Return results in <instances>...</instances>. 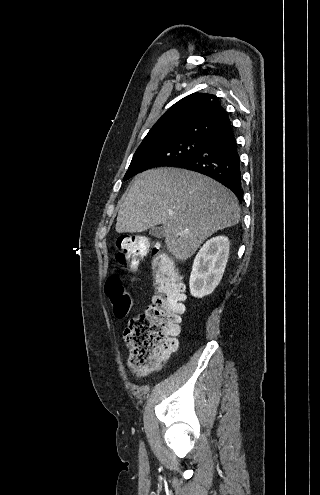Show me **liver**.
<instances>
[{"instance_id": "6515ba94", "label": "liver", "mask_w": 320, "mask_h": 495, "mask_svg": "<svg viewBox=\"0 0 320 495\" xmlns=\"http://www.w3.org/2000/svg\"><path fill=\"white\" fill-rule=\"evenodd\" d=\"M240 220L237 197L215 180L188 170L158 168L138 175L117 216V233L163 224L168 251L187 260L205 239Z\"/></svg>"}]
</instances>
